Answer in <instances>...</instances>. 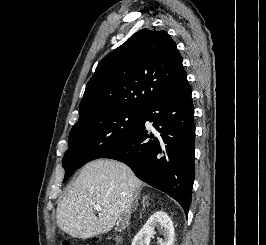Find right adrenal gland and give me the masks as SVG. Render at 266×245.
<instances>
[{
    "label": "right adrenal gland",
    "mask_w": 266,
    "mask_h": 245,
    "mask_svg": "<svg viewBox=\"0 0 266 245\" xmlns=\"http://www.w3.org/2000/svg\"><path fill=\"white\" fill-rule=\"evenodd\" d=\"M146 199H147V197H143L142 203H145Z\"/></svg>",
    "instance_id": "right-adrenal-gland-1"
}]
</instances>
